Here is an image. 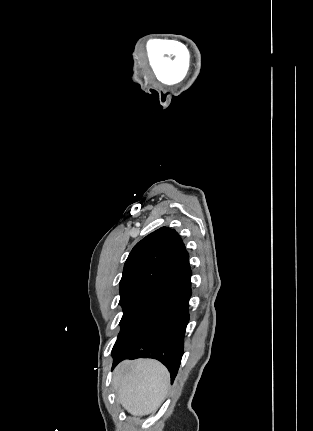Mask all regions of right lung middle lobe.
Returning <instances> with one entry per match:
<instances>
[{"mask_svg": "<svg viewBox=\"0 0 313 431\" xmlns=\"http://www.w3.org/2000/svg\"><path fill=\"white\" fill-rule=\"evenodd\" d=\"M145 296H122L119 304L123 307V316L120 321L121 331L130 322L138 309L143 305ZM120 331V332H121Z\"/></svg>", "mask_w": 313, "mask_h": 431, "instance_id": "right-lung-middle-lobe-1", "label": "right lung middle lobe"}]
</instances>
